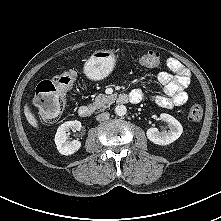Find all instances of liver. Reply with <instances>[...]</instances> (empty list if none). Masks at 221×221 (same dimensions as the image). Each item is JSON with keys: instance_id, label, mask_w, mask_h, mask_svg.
I'll list each match as a JSON object with an SVG mask.
<instances>
[{"instance_id": "obj_1", "label": "liver", "mask_w": 221, "mask_h": 221, "mask_svg": "<svg viewBox=\"0 0 221 221\" xmlns=\"http://www.w3.org/2000/svg\"><path fill=\"white\" fill-rule=\"evenodd\" d=\"M24 113H25L26 119L29 122V124L37 129L38 128V121L35 118L34 114L31 112V110L27 104L24 107Z\"/></svg>"}]
</instances>
